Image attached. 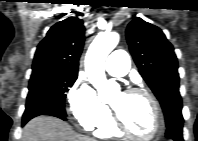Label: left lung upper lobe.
Returning <instances> with one entry per match:
<instances>
[{"mask_svg":"<svg viewBox=\"0 0 198 141\" xmlns=\"http://www.w3.org/2000/svg\"><path fill=\"white\" fill-rule=\"evenodd\" d=\"M126 37L140 74L161 104L167 129L173 124L183 125L178 63L173 46L161 29L141 18L128 24Z\"/></svg>","mask_w":198,"mask_h":141,"instance_id":"5c2ea615","label":"left lung upper lobe"}]
</instances>
